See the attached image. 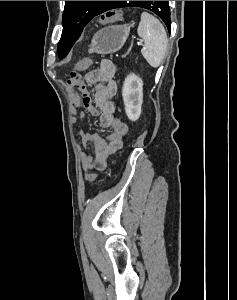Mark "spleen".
<instances>
[{"mask_svg":"<svg viewBox=\"0 0 237 300\" xmlns=\"http://www.w3.org/2000/svg\"><path fill=\"white\" fill-rule=\"evenodd\" d=\"M137 33L144 41L141 53L150 67L157 69L161 65L167 51L168 39L166 31L153 15L142 13Z\"/></svg>","mask_w":237,"mask_h":300,"instance_id":"obj_1","label":"spleen"}]
</instances>
